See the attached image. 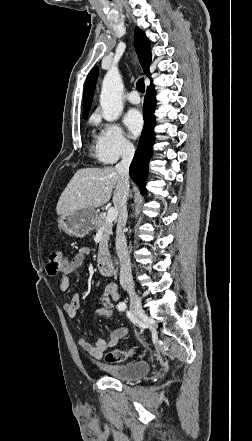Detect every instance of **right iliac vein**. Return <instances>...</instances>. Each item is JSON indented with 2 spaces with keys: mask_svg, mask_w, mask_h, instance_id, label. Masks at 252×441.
<instances>
[{
  "mask_svg": "<svg viewBox=\"0 0 252 441\" xmlns=\"http://www.w3.org/2000/svg\"><path fill=\"white\" fill-rule=\"evenodd\" d=\"M130 296V310L136 318L144 316V311L141 305V301L137 293L133 290L129 291Z\"/></svg>",
  "mask_w": 252,
  "mask_h": 441,
  "instance_id": "63e3f726",
  "label": "right iliac vein"
}]
</instances>
